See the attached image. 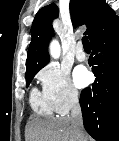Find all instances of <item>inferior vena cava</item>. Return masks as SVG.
<instances>
[{
  "instance_id": "obj_1",
  "label": "inferior vena cava",
  "mask_w": 119,
  "mask_h": 141,
  "mask_svg": "<svg viewBox=\"0 0 119 141\" xmlns=\"http://www.w3.org/2000/svg\"><path fill=\"white\" fill-rule=\"evenodd\" d=\"M69 104L71 109L70 119L79 137V141H85V139H83L84 129H83L82 112H81V107L78 100V95L76 92H72L70 94Z\"/></svg>"
}]
</instances>
